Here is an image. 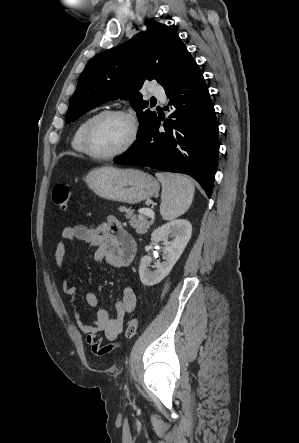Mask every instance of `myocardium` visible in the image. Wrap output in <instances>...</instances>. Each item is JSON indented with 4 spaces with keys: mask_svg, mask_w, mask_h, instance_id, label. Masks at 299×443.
Masks as SVG:
<instances>
[{
    "mask_svg": "<svg viewBox=\"0 0 299 443\" xmlns=\"http://www.w3.org/2000/svg\"><path fill=\"white\" fill-rule=\"evenodd\" d=\"M106 116H119L125 118L131 126V132L130 136L127 140V142L118 150L108 153V154H98L93 151L90 145V133L94 126V124L100 120L103 117ZM138 132H139V126L136 118L129 113L128 111L121 110V109H106L98 112L97 114L93 115L88 122L86 123L83 135H82V143L83 147L85 149L86 154H88L90 157L97 159V160H110L114 159L116 157H119L123 154H125L127 151H129L132 146L135 144L137 138H138Z\"/></svg>",
    "mask_w": 299,
    "mask_h": 443,
    "instance_id": "obj_1",
    "label": "myocardium"
}]
</instances>
